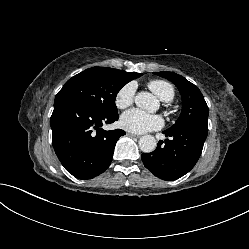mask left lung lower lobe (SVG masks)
<instances>
[{"label":"left lung lower lobe","instance_id":"obj_1","mask_svg":"<svg viewBox=\"0 0 249 249\" xmlns=\"http://www.w3.org/2000/svg\"><path fill=\"white\" fill-rule=\"evenodd\" d=\"M165 145L160 141L151 153H143L144 166L166 181L176 180L188 173L198 161L208 133V123L197 121L175 130L163 131Z\"/></svg>","mask_w":249,"mask_h":249}]
</instances>
